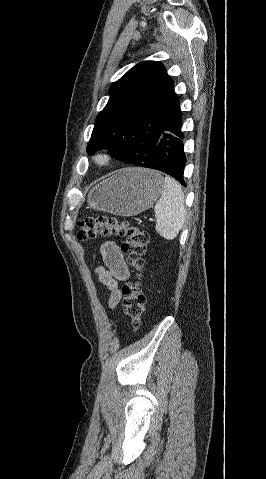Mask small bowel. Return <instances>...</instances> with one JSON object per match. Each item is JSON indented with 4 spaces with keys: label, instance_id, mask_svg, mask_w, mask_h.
I'll use <instances>...</instances> for the list:
<instances>
[{
    "label": "small bowel",
    "instance_id": "1",
    "mask_svg": "<svg viewBox=\"0 0 266 479\" xmlns=\"http://www.w3.org/2000/svg\"><path fill=\"white\" fill-rule=\"evenodd\" d=\"M100 252L104 266L96 268L98 280L108 289V306L115 309L121 299L118 284L129 277V269L118 245L112 241L102 244Z\"/></svg>",
    "mask_w": 266,
    "mask_h": 479
}]
</instances>
